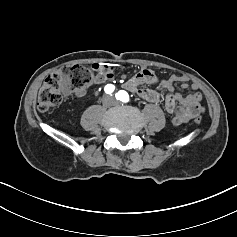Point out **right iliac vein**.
Returning <instances> with one entry per match:
<instances>
[{
  "label": "right iliac vein",
  "mask_w": 237,
  "mask_h": 237,
  "mask_svg": "<svg viewBox=\"0 0 237 237\" xmlns=\"http://www.w3.org/2000/svg\"><path fill=\"white\" fill-rule=\"evenodd\" d=\"M103 104L105 106H111L112 105V98L110 96H106L103 100Z\"/></svg>",
  "instance_id": "obj_1"
}]
</instances>
